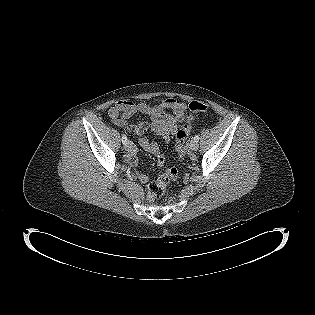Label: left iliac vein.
Masks as SVG:
<instances>
[{
  "instance_id": "left-iliac-vein-1",
  "label": "left iliac vein",
  "mask_w": 315,
  "mask_h": 315,
  "mask_svg": "<svg viewBox=\"0 0 315 315\" xmlns=\"http://www.w3.org/2000/svg\"><path fill=\"white\" fill-rule=\"evenodd\" d=\"M198 148H199L198 142L192 140V141L190 142V150H192V151H197Z\"/></svg>"
}]
</instances>
